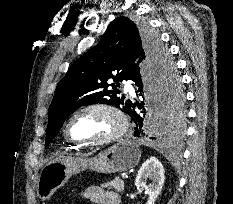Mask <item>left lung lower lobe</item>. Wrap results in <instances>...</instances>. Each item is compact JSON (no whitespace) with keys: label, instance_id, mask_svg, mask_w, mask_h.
Wrapping results in <instances>:
<instances>
[{"label":"left lung lower lobe","instance_id":"left-lung-lower-lobe-1","mask_svg":"<svg viewBox=\"0 0 233 204\" xmlns=\"http://www.w3.org/2000/svg\"><path fill=\"white\" fill-rule=\"evenodd\" d=\"M139 63V61H138ZM136 63L135 68L130 76L129 80H132L135 82V85L137 87V93L139 96L143 97V81L141 78V73L139 69V65ZM152 70V69H151ZM151 75L147 77L146 85L145 87L152 90L157 91L158 95V113L157 118L154 122H148L147 119H145V114H139L135 111V108L138 107L139 109H142L141 113L144 112L145 107L141 104L132 103V105L128 108L126 111L127 114L131 116L132 122L135 124V132L134 135L137 137H144L147 132L152 133V137L150 139H158L163 140L165 137H167L166 134H170L171 132L181 130L179 128L176 129V127L172 126L171 124H168L163 116L162 111V100H161V87L159 85L158 78L156 74L151 71ZM143 103V102H142ZM144 104V103H143ZM183 119V118H182ZM182 128V127H181Z\"/></svg>","mask_w":233,"mask_h":204}]
</instances>
